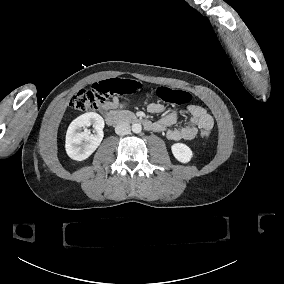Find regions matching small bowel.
Masks as SVG:
<instances>
[{
    "label": "small bowel",
    "mask_w": 284,
    "mask_h": 284,
    "mask_svg": "<svg viewBox=\"0 0 284 284\" xmlns=\"http://www.w3.org/2000/svg\"><path fill=\"white\" fill-rule=\"evenodd\" d=\"M122 105V102L117 96H113L108 102L107 109H117ZM164 105L160 103H151L148 105V112L152 114H159L164 111ZM189 119L186 125L178 128L173 126L179 120L181 116L180 110H175L155 122H150L149 130L156 132H163L166 134L167 138L173 141L178 140H192L196 137L199 129L211 130L214 126L213 117L207 112V110L195 104H190L186 108Z\"/></svg>",
    "instance_id": "1"
}]
</instances>
